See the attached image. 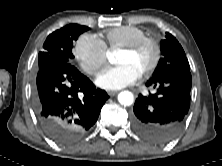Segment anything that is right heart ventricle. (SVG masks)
Returning a JSON list of instances; mask_svg holds the SVG:
<instances>
[{
  "label": "right heart ventricle",
  "mask_w": 222,
  "mask_h": 166,
  "mask_svg": "<svg viewBox=\"0 0 222 166\" xmlns=\"http://www.w3.org/2000/svg\"><path fill=\"white\" fill-rule=\"evenodd\" d=\"M144 36L146 34L141 28L131 25L111 28L104 34L105 45L111 49L125 46Z\"/></svg>",
  "instance_id": "obj_1"
}]
</instances>
